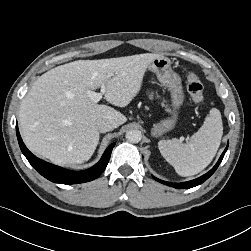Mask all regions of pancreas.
I'll return each instance as SVG.
<instances>
[{
    "mask_svg": "<svg viewBox=\"0 0 251 251\" xmlns=\"http://www.w3.org/2000/svg\"><path fill=\"white\" fill-rule=\"evenodd\" d=\"M149 97H150V98H153V95H152V94H150V95H149ZM163 105H164V104H163Z\"/></svg>",
    "mask_w": 251,
    "mask_h": 251,
    "instance_id": "1",
    "label": "pancreas"
}]
</instances>
